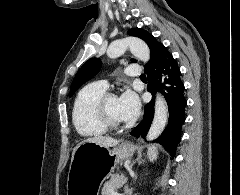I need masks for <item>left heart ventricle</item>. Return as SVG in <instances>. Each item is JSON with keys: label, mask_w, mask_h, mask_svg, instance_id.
<instances>
[{"label": "left heart ventricle", "mask_w": 240, "mask_h": 195, "mask_svg": "<svg viewBox=\"0 0 240 195\" xmlns=\"http://www.w3.org/2000/svg\"><path fill=\"white\" fill-rule=\"evenodd\" d=\"M109 111L112 117L119 122H124V119L121 114L119 98H113L109 102Z\"/></svg>", "instance_id": "b2bd125f"}]
</instances>
